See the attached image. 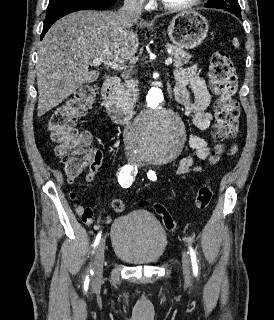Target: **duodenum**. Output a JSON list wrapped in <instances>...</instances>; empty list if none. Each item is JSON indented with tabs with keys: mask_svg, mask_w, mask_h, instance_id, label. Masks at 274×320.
Segmentation results:
<instances>
[{
	"mask_svg": "<svg viewBox=\"0 0 274 320\" xmlns=\"http://www.w3.org/2000/svg\"><path fill=\"white\" fill-rule=\"evenodd\" d=\"M121 79L117 75L107 78L102 89V104L108 115L116 123H127L131 120L133 112L131 109L120 104L117 89Z\"/></svg>",
	"mask_w": 274,
	"mask_h": 320,
	"instance_id": "410a0bca",
	"label": "duodenum"
}]
</instances>
